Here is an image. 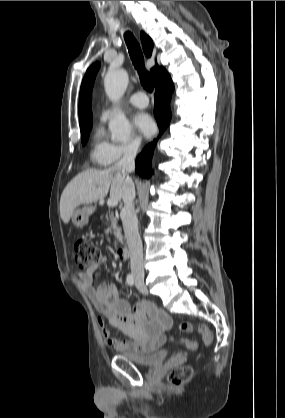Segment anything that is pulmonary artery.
I'll return each instance as SVG.
<instances>
[{"mask_svg": "<svg viewBox=\"0 0 285 418\" xmlns=\"http://www.w3.org/2000/svg\"><path fill=\"white\" fill-rule=\"evenodd\" d=\"M129 103L133 106L143 108V107H146L149 104V100L144 93L139 92V93L133 94L129 98ZM111 114H112V108L107 107L102 111L101 118L103 120H106L107 118L110 117Z\"/></svg>", "mask_w": 285, "mask_h": 418, "instance_id": "e3ab8cb5", "label": "pulmonary artery"}]
</instances>
